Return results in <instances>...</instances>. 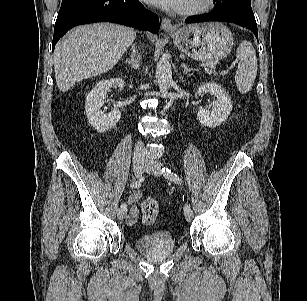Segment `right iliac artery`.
Segmentation results:
<instances>
[{
	"label": "right iliac artery",
	"instance_id": "obj_1",
	"mask_svg": "<svg viewBox=\"0 0 307 301\" xmlns=\"http://www.w3.org/2000/svg\"><path fill=\"white\" fill-rule=\"evenodd\" d=\"M141 183H142V179H139V180H133L131 183H130V186L132 188H139L141 186ZM121 209H124L127 211V205L125 203H122L121 204Z\"/></svg>",
	"mask_w": 307,
	"mask_h": 301
}]
</instances>
